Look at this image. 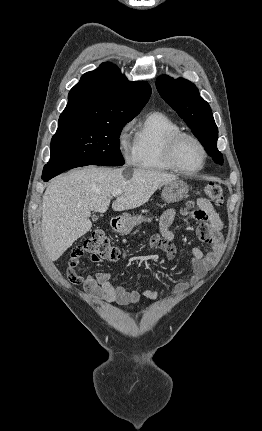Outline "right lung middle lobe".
Segmentation results:
<instances>
[{
	"mask_svg": "<svg viewBox=\"0 0 262 431\" xmlns=\"http://www.w3.org/2000/svg\"><path fill=\"white\" fill-rule=\"evenodd\" d=\"M131 120H80L59 125L51 140V156L47 164L123 165L119 135Z\"/></svg>",
	"mask_w": 262,
	"mask_h": 431,
	"instance_id": "dd1d6c3e",
	"label": "right lung middle lobe"
}]
</instances>
